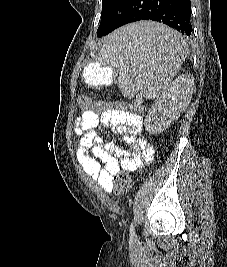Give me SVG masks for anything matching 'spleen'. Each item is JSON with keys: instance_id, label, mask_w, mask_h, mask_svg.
<instances>
[{"instance_id": "obj_1", "label": "spleen", "mask_w": 227, "mask_h": 267, "mask_svg": "<svg viewBox=\"0 0 227 267\" xmlns=\"http://www.w3.org/2000/svg\"><path fill=\"white\" fill-rule=\"evenodd\" d=\"M102 41L97 47H102L101 55H108L111 63H134L116 82L127 81L122 86L131 94L143 87L149 98L168 88L188 54L183 37L157 19H135L102 36Z\"/></svg>"}]
</instances>
